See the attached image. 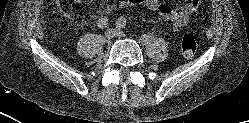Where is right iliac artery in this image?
I'll use <instances>...</instances> for the list:
<instances>
[{"label":"right iliac artery","instance_id":"obj_1","mask_svg":"<svg viewBox=\"0 0 249 123\" xmlns=\"http://www.w3.org/2000/svg\"><path fill=\"white\" fill-rule=\"evenodd\" d=\"M97 25L99 28H105L108 25V19L106 17H102L97 21Z\"/></svg>","mask_w":249,"mask_h":123}]
</instances>
